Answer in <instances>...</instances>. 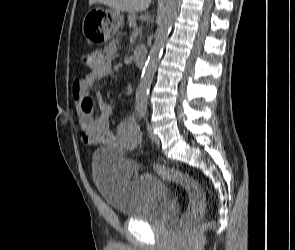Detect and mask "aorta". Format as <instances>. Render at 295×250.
<instances>
[{"mask_svg":"<svg viewBox=\"0 0 295 250\" xmlns=\"http://www.w3.org/2000/svg\"><path fill=\"white\" fill-rule=\"evenodd\" d=\"M180 4L181 0H167L165 9L160 16L155 41L142 71L141 81L136 93V105L138 107L146 106L147 95L163 53V48L171 26L178 14Z\"/></svg>","mask_w":295,"mask_h":250,"instance_id":"1","label":"aorta"}]
</instances>
